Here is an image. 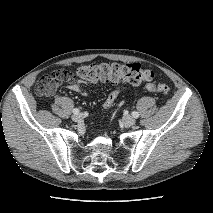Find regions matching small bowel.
Returning <instances> with one entry per match:
<instances>
[{
	"label": "small bowel",
	"instance_id": "obj_1",
	"mask_svg": "<svg viewBox=\"0 0 213 213\" xmlns=\"http://www.w3.org/2000/svg\"><path fill=\"white\" fill-rule=\"evenodd\" d=\"M57 85L58 83L50 84L44 94L46 96H52L56 91ZM84 85L85 84L81 81H71L68 84V89H70L71 91L79 92L84 96H87L88 92L87 90L84 89Z\"/></svg>",
	"mask_w": 213,
	"mask_h": 213
}]
</instances>
